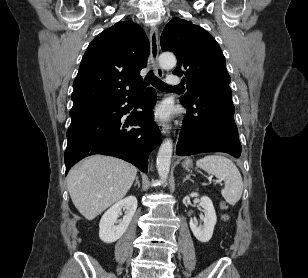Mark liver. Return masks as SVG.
Wrapping results in <instances>:
<instances>
[{
  "label": "liver",
  "mask_w": 308,
  "mask_h": 278,
  "mask_svg": "<svg viewBox=\"0 0 308 278\" xmlns=\"http://www.w3.org/2000/svg\"><path fill=\"white\" fill-rule=\"evenodd\" d=\"M136 174L137 168L128 162L94 155L70 170L67 187L78 211L87 220H93L127 194Z\"/></svg>",
  "instance_id": "liver-1"
}]
</instances>
